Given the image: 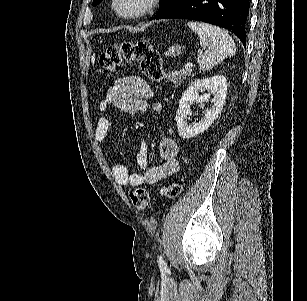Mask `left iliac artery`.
<instances>
[{
	"mask_svg": "<svg viewBox=\"0 0 307 301\" xmlns=\"http://www.w3.org/2000/svg\"><path fill=\"white\" fill-rule=\"evenodd\" d=\"M158 265H159V268H160V269H164V270L167 269V264H166L165 261L163 260L162 255H159V256H158Z\"/></svg>",
	"mask_w": 307,
	"mask_h": 301,
	"instance_id": "obj_1",
	"label": "left iliac artery"
}]
</instances>
